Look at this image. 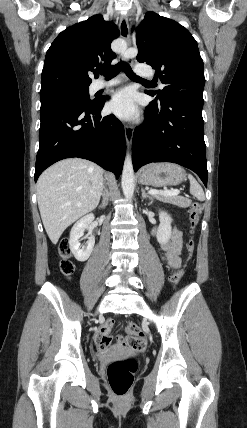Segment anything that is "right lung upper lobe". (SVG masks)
Masks as SVG:
<instances>
[{"instance_id": "1", "label": "right lung upper lobe", "mask_w": 247, "mask_h": 428, "mask_svg": "<svg viewBox=\"0 0 247 428\" xmlns=\"http://www.w3.org/2000/svg\"><path fill=\"white\" fill-rule=\"evenodd\" d=\"M117 36L118 29H112L101 15L61 32L46 53L40 93L70 86L88 87V72L111 66L116 54L110 45Z\"/></svg>"}]
</instances>
